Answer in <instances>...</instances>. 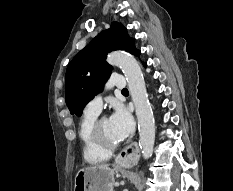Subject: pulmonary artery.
Returning a JSON list of instances; mask_svg holds the SVG:
<instances>
[{"label":"pulmonary artery","mask_w":233,"mask_h":191,"mask_svg":"<svg viewBox=\"0 0 233 191\" xmlns=\"http://www.w3.org/2000/svg\"><path fill=\"white\" fill-rule=\"evenodd\" d=\"M126 86V80L122 75H114L111 76L107 87L108 88H117V89H123ZM102 109V96L97 95L95 96L86 106V111H91L94 113L99 114Z\"/></svg>","instance_id":"e3ab8cb5"}]
</instances>
